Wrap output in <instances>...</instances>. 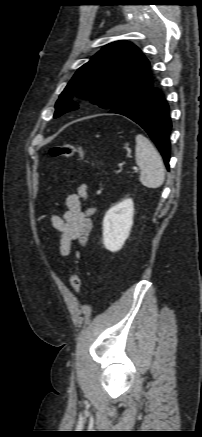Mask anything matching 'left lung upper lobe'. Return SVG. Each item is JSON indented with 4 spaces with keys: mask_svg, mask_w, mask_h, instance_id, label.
<instances>
[{
    "mask_svg": "<svg viewBox=\"0 0 202 437\" xmlns=\"http://www.w3.org/2000/svg\"><path fill=\"white\" fill-rule=\"evenodd\" d=\"M152 85L150 63L141 50L128 41L110 43L77 70L56 102L54 118L78 108L73 95L111 110Z\"/></svg>",
    "mask_w": 202,
    "mask_h": 437,
    "instance_id": "obj_1",
    "label": "left lung upper lobe"
}]
</instances>
